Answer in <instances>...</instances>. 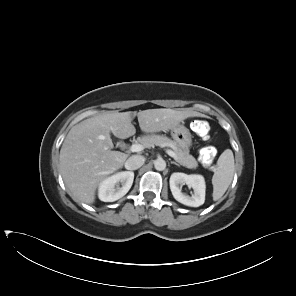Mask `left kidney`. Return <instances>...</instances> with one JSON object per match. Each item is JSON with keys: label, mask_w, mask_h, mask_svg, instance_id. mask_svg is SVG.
Wrapping results in <instances>:
<instances>
[{"label": "left kidney", "mask_w": 296, "mask_h": 296, "mask_svg": "<svg viewBox=\"0 0 296 296\" xmlns=\"http://www.w3.org/2000/svg\"><path fill=\"white\" fill-rule=\"evenodd\" d=\"M169 182L172 195L178 202L190 207H199L204 204L206 185L202 175L175 172L171 175ZM183 184L193 188L192 196L182 193L179 186Z\"/></svg>", "instance_id": "obj_1"}]
</instances>
